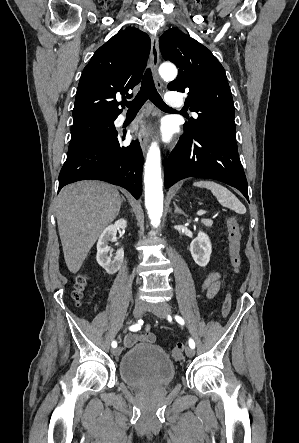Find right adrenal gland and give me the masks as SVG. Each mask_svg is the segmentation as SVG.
I'll list each match as a JSON object with an SVG mask.
<instances>
[{
  "instance_id": "obj_1",
  "label": "right adrenal gland",
  "mask_w": 299,
  "mask_h": 443,
  "mask_svg": "<svg viewBox=\"0 0 299 443\" xmlns=\"http://www.w3.org/2000/svg\"><path fill=\"white\" fill-rule=\"evenodd\" d=\"M123 201L126 202V199L122 196V202H123Z\"/></svg>"
}]
</instances>
